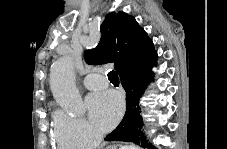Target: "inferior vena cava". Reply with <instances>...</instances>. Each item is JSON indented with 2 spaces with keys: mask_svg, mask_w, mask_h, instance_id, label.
Segmentation results:
<instances>
[{
  "mask_svg": "<svg viewBox=\"0 0 227 149\" xmlns=\"http://www.w3.org/2000/svg\"><path fill=\"white\" fill-rule=\"evenodd\" d=\"M96 143L99 144L102 141L103 136L101 134L95 133Z\"/></svg>",
  "mask_w": 227,
  "mask_h": 149,
  "instance_id": "inferior-vena-cava-1",
  "label": "inferior vena cava"
}]
</instances>
